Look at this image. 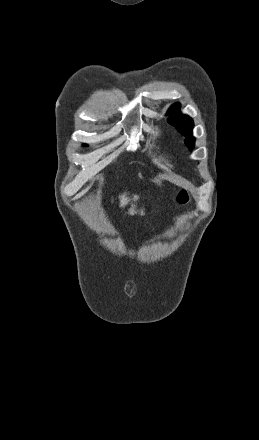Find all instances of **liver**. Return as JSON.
Listing matches in <instances>:
<instances>
[{
	"mask_svg": "<svg viewBox=\"0 0 259 440\" xmlns=\"http://www.w3.org/2000/svg\"><path fill=\"white\" fill-rule=\"evenodd\" d=\"M133 200L136 201L137 200V196L133 197ZM128 202H130V199L126 196V193H124L123 195L120 196V206L121 207H125ZM136 213L135 210V205H131V208L129 209V214L130 215H134ZM141 215L144 214L143 210L140 211Z\"/></svg>",
	"mask_w": 259,
	"mask_h": 440,
	"instance_id": "1",
	"label": "liver"
}]
</instances>
